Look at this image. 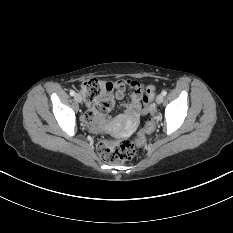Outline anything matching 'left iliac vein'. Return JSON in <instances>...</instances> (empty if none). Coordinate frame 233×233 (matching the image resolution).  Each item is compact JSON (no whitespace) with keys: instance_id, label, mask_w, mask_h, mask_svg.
<instances>
[{"instance_id":"left-iliac-vein-1","label":"left iliac vein","mask_w":233,"mask_h":233,"mask_svg":"<svg viewBox=\"0 0 233 233\" xmlns=\"http://www.w3.org/2000/svg\"><path fill=\"white\" fill-rule=\"evenodd\" d=\"M163 99H164V96L162 94H159L157 97H156V103L157 104H161L163 102Z\"/></svg>"}]
</instances>
